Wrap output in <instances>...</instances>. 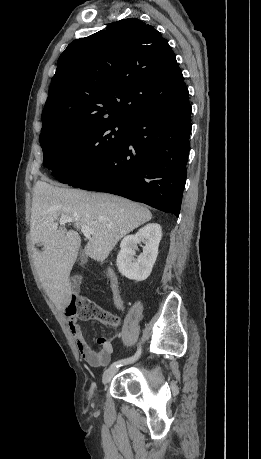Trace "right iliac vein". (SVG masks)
Wrapping results in <instances>:
<instances>
[{"instance_id":"63e3f726","label":"right iliac vein","mask_w":261,"mask_h":459,"mask_svg":"<svg viewBox=\"0 0 261 459\" xmlns=\"http://www.w3.org/2000/svg\"><path fill=\"white\" fill-rule=\"evenodd\" d=\"M117 372H118V368H116V367H112V368L107 369L103 373L102 383L103 384H107Z\"/></svg>"}]
</instances>
